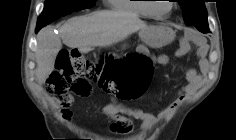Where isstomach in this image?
<instances>
[{
    "label": "stomach",
    "instance_id": "obj_1",
    "mask_svg": "<svg viewBox=\"0 0 236 140\" xmlns=\"http://www.w3.org/2000/svg\"><path fill=\"white\" fill-rule=\"evenodd\" d=\"M140 34L145 43L156 48L168 45L175 38L173 29L164 24L148 27Z\"/></svg>",
    "mask_w": 236,
    "mask_h": 140
}]
</instances>
